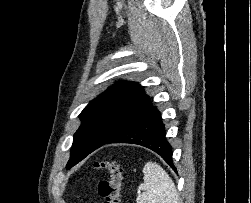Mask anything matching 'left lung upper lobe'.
<instances>
[{
	"instance_id": "left-lung-upper-lobe-1",
	"label": "left lung upper lobe",
	"mask_w": 251,
	"mask_h": 203,
	"mask_svg": "<svg viewBox=\"0 0 251 203\" xmlns=\"http://www.w3.org/2000/svg\"><path fill=\"white\" fill-rule=\"evenodd\" d=\"M150 107V99L138 83L119 81L108 88L79 115L82 123L73 136L66 168L104 145Z\"/></svg>"
}]
</instances>
